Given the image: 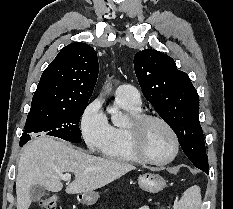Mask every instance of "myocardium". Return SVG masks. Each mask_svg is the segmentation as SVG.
I'll return each mask as SVG.
<instances>
[{
	"label": "myocardium",
	"instance_id": "obj_1",
	"mask_svg": "<svg viewBox=\"0 0 233 209\" xmlns=\"http://www.w3.org/2000/svg\"><path fill=\"white\" fill-rule=\"evenodd\" d=\"M149 122L161 124L169 132L173 139L174 149L172 154L165 160H154L146 155L142 147V137L146 125ZM129 144L134 155L141 161L151 165L164 166L171 163L178 155L180 143L174 128L162 117L142 113L131 120L127 126Z\"/></svg>",
	"mask_w": 233,
	"mask_h": 209
}]
</instances>
